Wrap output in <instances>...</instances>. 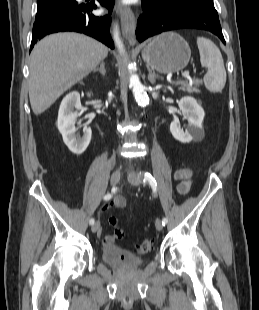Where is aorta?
<instances>
[{
  "label": "aorta",
  "mask_w": 259,
  "mask_h": 310,
  "mask_svg": "<svg viewBox=\"0 0 259 310\" xmlns=\"http://www.w3.org/2000/svg\"><path fill=\"white\" fill-rule=\"evenodd\" d=\"M114 41L117 44L119 51L123 53L124 52L123 44L120 40L119 30L117 26L114 30ZM129 70H130V86L132 87V92L135 96V99L139 106L145 107L149 104V97L145 91V87L140 82L139 77L136 74L132 73L130 64H129Z\"/></svg>",
  "instance_id": "1"
}]
</instances>
